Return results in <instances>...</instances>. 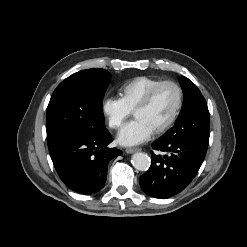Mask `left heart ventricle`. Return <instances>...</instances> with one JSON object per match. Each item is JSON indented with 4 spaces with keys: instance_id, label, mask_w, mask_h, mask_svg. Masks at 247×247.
<instances>
[{
    "instance_id": "left-heart-ventricle-1",
    "label": "left heart ventricle",
    "mask_w": 247,
    "mask_h": 247,
    "mask_svg": "<svg viewBox=\"0 0 247 247\" xmlns=\"http://www.w3.org/2000/svg\"><path fill=\"white\" fill-rule=\"evenodd\" d=\"M176 103V90L171 86H164L157 92L151 104L146 109L137 111L134 117L155 131L170 118Z\"/></svg>"
}]
</instances>
